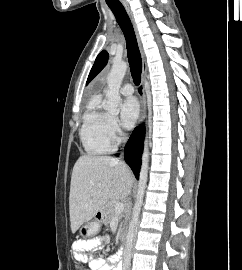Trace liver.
<instances>
[{
  "label": "liver",
  "instance_id": "1",
  "mask_svg": "<svg viewBox=\"0 0 242 270\" xmlns=\"http://www.w3.org/2000/svg\"><path fill=\"white\" fill-rule=\"evenodd\" d=\"M133 181L128 166L116 158L81 156L71 176L69 211L72 233L102 211L109 200L125 199Z\"/></svg>",
  "mask_w": 242,
  "mask_h": 270
}]
</instances>
